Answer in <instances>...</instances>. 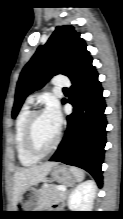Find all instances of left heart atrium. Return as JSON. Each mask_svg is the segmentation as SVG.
I'll return each mask as SVG.
<instances>
[{
	"mask_svg": "<svg viewBox=\"0 0 123 219\" xmlns=\"http://www.w3.org/2000/svg\"><path fill=\"white\" fill-rule=\"evenodd\" d=\"M46 115L50 118L53 124L60 129L62 124V115L58 103L55 100L48 102L45 109Z\"/></svg>",
	"mask_w": 123,
	"mask_h": 219,
	"instance_id": "39dd6f15",
	"label": "left heart atrium"
}]
</instances>
